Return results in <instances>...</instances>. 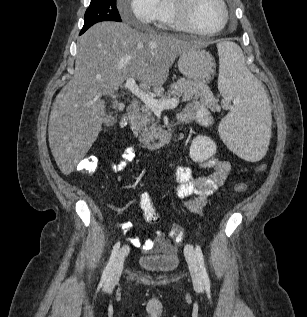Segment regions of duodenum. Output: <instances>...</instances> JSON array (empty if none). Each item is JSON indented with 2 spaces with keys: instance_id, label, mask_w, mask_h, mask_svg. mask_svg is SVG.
I'll return each instance as SVG.
<instances>
[{
  "instance_id": "1",
  "label": "duodenum",
  "mask_w": 307,
  "mask_h": 317,
  "mask_svg": "<svg viewBox=\"0 0 307 317\" xmlns=\"http://www.w3.org/2000/svg\"><path fill=\"white\" fill-rule=\"evenodd\" d=\"M140 111V105L138 102H133L129 105L127 110V119L129 122V127L132 129L134 133L139 135V129L137 127V117ZM185 120L181 117H178L176 122L167 130L162 131L151 138H145L140 136V141L145 148L152 147L157 144L167 142L172 136L174 131L184 122Z\"/></svg>"
}]
</instances>
